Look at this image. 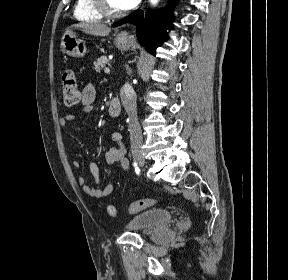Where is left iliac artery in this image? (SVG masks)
<instances>
[{
	"instance_id": "1",
	"label": "left iliac artery",
	"mask_w": 288,
	"mask_h": 280,
	"mask_svg": "<svg viewBox=\"0 0 288 280\" xmlns=\"http://www.w3.org/2000/svg\"><path fill=\"white\" fill-rule=\"evenodd\" d=\"M133 166H134V168H135V172H136L137 174H139V173H140V169L138 168L137 163L134 162Z\"/></svg>"
}]
</instances>
